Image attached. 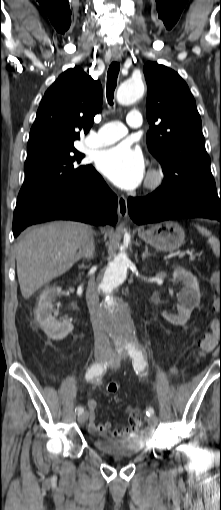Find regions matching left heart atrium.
<instances>
[{
	"label": "left heart atrium",
	"instance_id": "1",
	"mask_svg": "<svg viewBox=\"0 0 221 510\" xmlns=\"http://www.w3.org/2000/svg\"><path fill=\"white\" fill-rule=\"evenodd\" d=\"M96 165L110 181L123 189L136 188L144 177L142 153L126 143L100 151Z\"/></svg>",
	"mask_w": 221,
	"mask_h": 510
}]
</instances>
